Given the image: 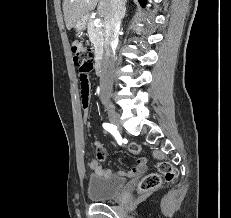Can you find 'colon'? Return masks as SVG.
Masks as SVG:
<instances>
[{
	"label": "colon",
	"instance_id": "obj_1",
	"mask_svg": "<svg viewBox=\"0 0 231 218\" xmlns=\"http://www.w3.org/2000/svg\"><path fill=\"white\" fill-rule=\"evenodd\" d=\"M74 63L77 67L83 66L84 63H88L89 60L94 61L93 51L87 47L81 40L75 39L71 44ZM128 149L132 153L140 152V147L131 143L128 145ZM158 172L151 173L145 176L139 183L138 191L140 193H148L159 188L163 180L172 182L176 178V173L173 166L166 161H162L157 165Z\"/></svg>",
	"mask_w": 231,
	"mask_h": 218
}]
</instances>
